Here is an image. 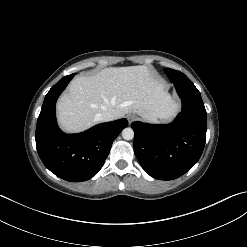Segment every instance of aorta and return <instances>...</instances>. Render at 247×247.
Here are the masks:
<instances>
[{
	"instance_id": "aorta-1",
	"label": "aorta",
	"mask_w": 247,
	"mask_h": 247,
	"mask_svg": "<svg viewBox=\"0 0 247 247\" xmlns=\"http://www.w3.org/2000/svg\"><path fill=\"white\" fill-rule=\"evenodd\" d=\"M122 137L125 140H132L134 138V131H133V129L130 128V127H127L125 129H123V131H122Z\"/></svg>"
}]
</instances>
